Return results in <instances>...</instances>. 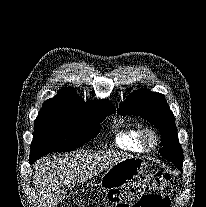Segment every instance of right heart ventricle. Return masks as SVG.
<instances>
[{"instance_id": "obj_1", "label": "right heart ventricle", "mask_w": 206, "mask_h": 207, "mask_svg": "<svg viewBox=\"0 0 206 207\" xmlns=\"http://www.w3.org/2000/svg\"><path fill=\"white\" fill-rule=\"evenodd\" d=\"M141 128L138 126H126L119 129L115 135V144L123 150L144 152L140 141Z\"/></svg>"}]
</instances>
